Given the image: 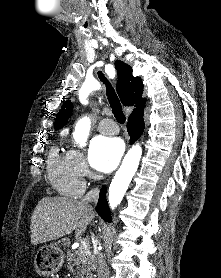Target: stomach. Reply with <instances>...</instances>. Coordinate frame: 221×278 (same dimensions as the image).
<instances>
[{
    "mask_svg": "<svg viewBox=\"0 0 221 278\" xmlns=\"http://www.w3.org/2000/svg\"><path fill=\"white\" fill-rule=\"evenodd\" d=\"M64 254L57 245L43 246L35 257V268L41 275H51L60 270Z\"/></svg>",
    "mask_w": 221,
    "mask_h": 278,
    "instance_id": "obj_1",
    "label": "stomach"
}]
</instances>
